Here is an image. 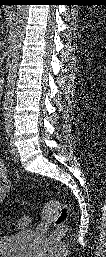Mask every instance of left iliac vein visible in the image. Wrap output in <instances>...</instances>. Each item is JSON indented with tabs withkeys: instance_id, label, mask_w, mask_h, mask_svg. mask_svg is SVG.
I'll return each instance as SVG.
<instances>
[{
	"instance_id": "obj_1",
	"label": "left iliac vein",
	"mask_w": 106,
	"mask_h": 257,
	"mask_svg": "<svg viewBox=\"0 0 106 257\" xmlns=\"http://www.w3.org/2000/svg\"><path fill=\"white\" fill-rule=\"evenodd\" d=\"M10 148H11V153H12L13 155H16V154H17V148H16V146H15V144H14V139H13L12 136H11V138H10Z\"/></svg>"
}]
</instances>
